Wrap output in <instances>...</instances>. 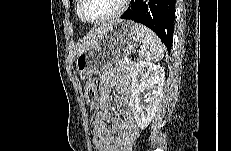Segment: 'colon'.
Returning a JSON list of instances; mask_svg holds the SVG:
<instances>
[{
	"label": "colon",
	"mask_w": 231,
	"mask_h": 151,
	"mask_svg": "<svg viewBox=\"0 0 231 151\" xmlns=\"http://www.w3.org/2000/svg\"><path fill=\"white\" fill-rule=\"evenodd\" d=\"M85 95H86L88 104L92 108H95L97 105V94H96L95 83L93 80L87 81ZM99 151H101V149H99Z\"/></svg>",
	"instance_id": "5ec220e1"
}]
</instances>
